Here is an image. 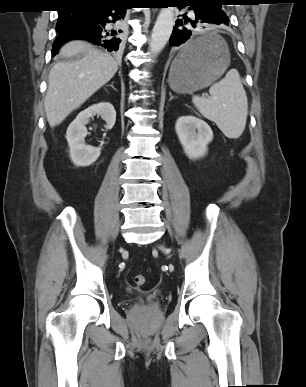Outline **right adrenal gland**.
I'll return each instance as SVG.
<instances>
[{
    "label": "right adrenal gland",
    "instance_id": "right-adrenal-gland-1",
    "mask_svg": "<svg viewBox=\"0 0 306 387\" xmlns=\"http://www.w3.org/2000/svg\"><path fill=\"white\" fill-rule=\"evenodd\" d=\"M114 90H116L115 88H114V86H113V83L110 85Z\"/></svg>",
    "mask_w": 306,
    "mask_h": 387
}]
</instances>
